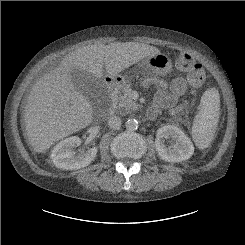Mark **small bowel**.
<instances>
[{
	"label": "small bowel",
	"instance_id": "obj_1",
	"mask_svg": "<svg viewBox=\"0 0 245 245\" xmlns=\"http://www.w3.org/2000/svg\"><path fill=\"white\" fill-rule=\"evenodd\" d=\"M146 83L156 89L154 100L147 111L149 118H154L160 110H165L172 116L183 110L185 103H180L178 100L186 92L184 77H176L170 83L160 78L150 77L146 79Z\"/></svg>",
	"mask_w": 245,
	"mask_h": 245
}]
</instances>
